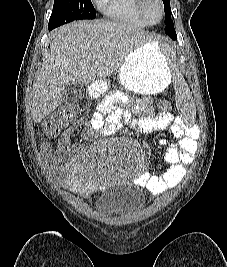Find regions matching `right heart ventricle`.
<instances>
[{"label":"right heart ventricle","instance_id":"1","mask_svg":"<svg viewBox=\"0 0 227 267\" xmlns=\"http://www.w3.org/2000/svg\"><path fill=\"white\" fill-rule=\"evenodd\" d=\"M98 7L102 14L112 21L147 26L137 9V0H99Z\"/></svg>","mask_w":227,"mask_h":267}]
</instances>
